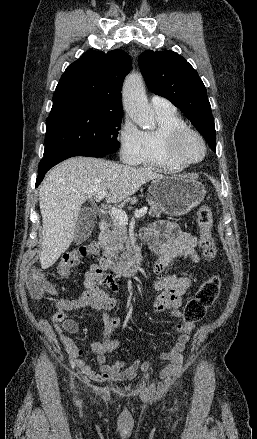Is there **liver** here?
I'll return each instance as SVG.
<instances>
[{
  "label": "liver",
  "mask_w": 257,
  "mask_h": 439,
  "mask_svg": "<svg viewBox=\"0 0 257 439\" xmlns=\"http://www.w3.org/2000/svg\"><path fill=\"white\" fill-rule=\"evenodd\" d=\"M163 177L150 168H135L91 157H74L54 167L44 179L39 203L42 215V269L51 267L75 236L81 206L109 190L107 203H120L146 182Z\"/></svg>",
  "instance_id": "obj_1"
}]
</instances>
